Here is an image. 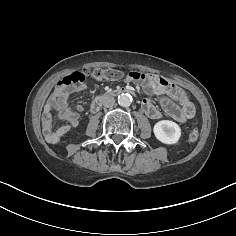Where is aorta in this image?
<instances>
[{
    "mask_svg": "<svg viewBox=\"0 0 236 236\" xmlns=\"http://www.w3.org/2000/svg\"><path fill=\"white\" fill-rule=\"evenodd\" d=\"M132 103V96L127 93H122L118 96V104L122 107H128Z\"/></svg>",
    "mask_w": 236,
    "mask_h": 236,
    "instance_id": "1",
    "label": "aorta"
}]
</instances>
